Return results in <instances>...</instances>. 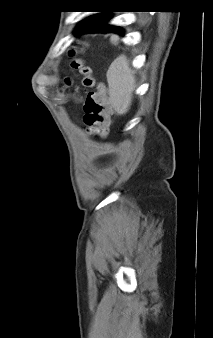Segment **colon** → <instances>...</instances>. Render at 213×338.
<instances>
[{
    "label": "colon",
    "mask_w": 213,
    "mask_h": 338,
    "mask_svg": "<svg viewBox=\"0 0 213 338\" xmlns=\"http://www.w3.org/2000/svg\"><path fill=\"white\" fill-rule=\"evenodd\" d=\"M78 52V50H73L71 55L75 56ZM71 66L84 75V87L92 88L94 86L95 81L93 78V68L91 66L79 58H74ZM83 121L90 132L101 136L107 133L109 127V105L103 85H98L96 90H90L87 93L84 104Z\"/></svg>",
    "instance_id": "1"
}]
</instances>
